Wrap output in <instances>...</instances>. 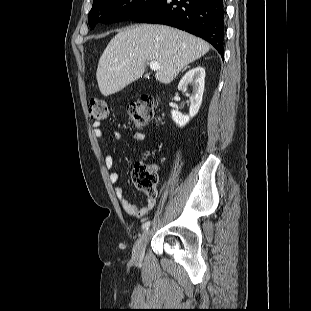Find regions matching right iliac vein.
Instances as JSON below:
<instances>
[{"label": "right iliac vein", "instance_id": "63e3f726", "mask_svg": "<svg viewBox=\"0 0 311 311\" xmlns=\"http://www.w3.org/2000/svg\"><path fill=\"white\" fill-rule=\"evenodd\" d=\"M149 237V230H145L133 247V259L136 263H140L144 256L145 246Z\"/></svg>", "mask_w": 311, "mask_h": 311}]
</instances>
